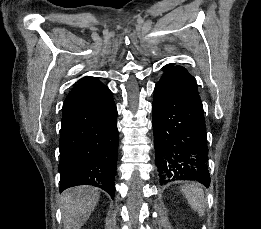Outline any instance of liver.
<instances>
[{
    "mask_svg": "<svg viewBox=\"0 0 261 229\" xmlns=\"http://www.w3.org/2000/svg\"><path fill=\"white\" fill-rule=\"evenodd\" d=\"M100 199L97 187H72L60 197L65 229H81Z\"/></svg>",
    "mask_w": 261,
    "mask_h": 229,
    "instance_id": "1",
    "label": "liver"
}]
</instances>
